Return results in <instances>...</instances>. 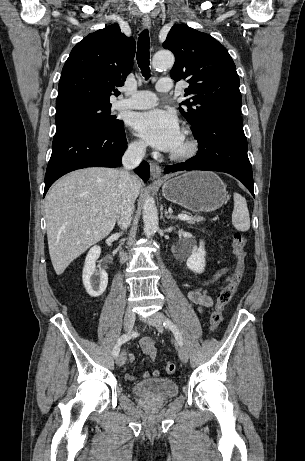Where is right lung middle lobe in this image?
Segmentation results:
<instances>
[{
    "label": "right lung middle lobe",
    "instance_id": "1",
    "mask_svg": "<svg viewBox=\"0 0 305 461\" xmlns=\"http://www.w3.org/2000/svg\"><path fill=\"white\" fill-rule=\"evenodd\" d=\"M110 103L82 102L56 108V125L64 122H76L87 126L110 130L123 124L110 115Z\"/></svg>",
    "mask_w": 305,
    "mask_h": 461
}]
</instances>
